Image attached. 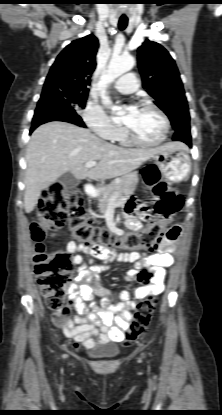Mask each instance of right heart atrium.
<instances>
[{
	"label": "right heart atrium",
	"mask_w": 222,
	"mask_h": 415,
	"mask_svg": "<svg viewBox=\"0 0 222 415\" xmlns=\"http://www.w3.org/2000/svg\"><path fill=\"white\" fill-rule=\"evenodd\" d=\"M86 126L100 138L114 140L121 131L120 125L112 121L101 106L88 102L81 114Z\"/></svg>",
	"instance_id": "1"
}]
</instances>
